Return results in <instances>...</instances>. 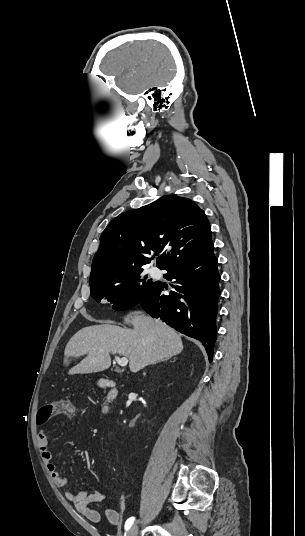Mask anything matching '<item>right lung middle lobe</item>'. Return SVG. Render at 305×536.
Segmentation results:
<instances>
[{
  "label": "right lung middle lobe",
  "instance_id": "dd1d6c3e",
  "mask_svg": "<svg viewBox=\"0 0 305 536\" xmlns=\"http://www.w3.org/2000/svg\"><path fill=\"white\" fill-rule=\"evenodd\" d=\"M90 283V294L100 302L106 299L115 310H127L137 305L157 284L142 275V269L131 271L109 279Z\"/></svg>",
  "mask_w": 305,
  "mask_h": 536
}]
</instances>
